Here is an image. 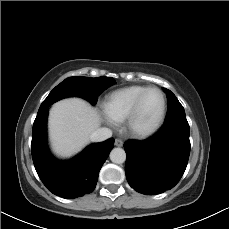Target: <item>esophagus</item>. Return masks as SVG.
I'll return each instance as SVG.
<instances>
[{
    "label": "esophagus",
    "instance_id": "esophagus-1",
    "mask_svg": "<svg viewBox=\"0 0 229 229\" xmlns=\"http://www.w3.org/2000/svg\"><path fill=\"white\" fill-rule=\"evenodd\" d=\"M123 145V141L120 139H115V146L121 147Z\"/></svg>",
    "mask_w": 229,
    "mask_h": 229
}]
</instances>
